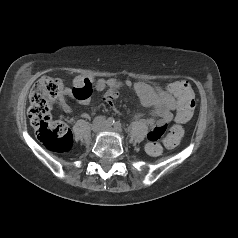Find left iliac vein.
Masks as SVG:
<instances>
[{
	"mask_svg": "<svg viewBox=\"0 0 238 238\" xmlns=\"http://www.w3.org/2000/svg\"><path fill=\"white\" fill-rule=\"evenodd\" d=\"M108 130H112V128L109 127Z\"/></svg>",
	"mask_w": 238,
	"mask_h": 238,
	"instance_id": "4c4485c4",
	"label": "left iliac vein"
}]
</instances>
